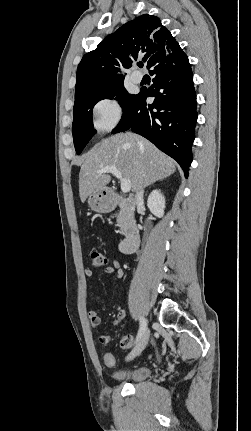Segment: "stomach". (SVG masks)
<instances>
[{"instance_id":"1","label":"stomach","mask_w":251,"mask_h":431,"mask_svg":"<svg viewBox=\"0 0 251 431\" xmlns=\"http://www.w3.org/2000/svg\"><path fill=\"white\" fill-rule=\"evenodd\" d=\"M89 207L98 213L111 212L115 207V200L108 189H102L92 192L88 196Z\"/></svg>"}]
</instances>
